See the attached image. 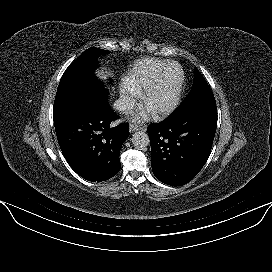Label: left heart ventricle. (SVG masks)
I'll return each instance as SVG.
<instances>
[{
  "label": "left heart ventricle",
  "instance_id": "left-heart-ventricle-1",
  "mask_svg": "<svg viewBox=\"0 0 272 272\" xmlns=\"http://www.w3.org/2000/svg\"><path fill=\"white\" fill-rule=\"evenodd\" d=\"M179 76L180 73L176 67H173L168 71L162 83L154 91L147 103V108L149 110H157L168 105L172 101Z\"/></svg>",
  "mask_w": 272,
  "mask_h": 272
}]
</instances>
